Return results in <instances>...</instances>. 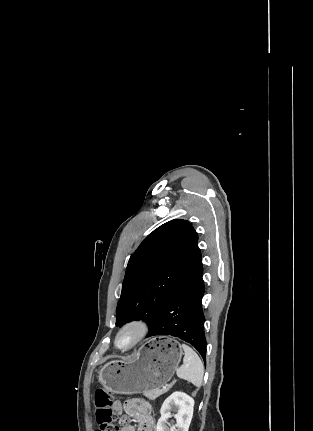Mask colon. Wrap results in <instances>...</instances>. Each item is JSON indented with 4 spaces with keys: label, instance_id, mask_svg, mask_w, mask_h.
Instances as JSON below:
<instances>
[{
    "label": "colon",
    "instance_id": "5ec220e1",
    "mask_svg": "<svg viewBox=\"0 0 313 431\" xmlns=\"http://www.w3.org/2000/svg\"><path fill=\"white\" fill-rule=\"evenodd\" d=\"M113 397L110 391L97 388L94 392L95 418L98 423L96 431H119L115 425L112 410Z\"/></svg>",
    "mask_w": 313,
    "mask_h": 431
}]
</instances>
